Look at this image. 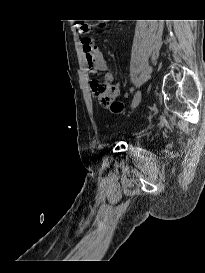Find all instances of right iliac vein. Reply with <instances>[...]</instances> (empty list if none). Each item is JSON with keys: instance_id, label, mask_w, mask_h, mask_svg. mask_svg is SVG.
<instances>
[{"instance_id": "63e3f726", "label": "right iliac vein", "mask_w": 205, "mask_h": 273, "mask_svg": "<svg viewBox=\"0 0 205 273\" xmlns=\"http://www.w3.org/2000/svg\"><path fill=\"white\" fill-rule=\"evenodd\" d=\"M142 98L141 91H137L136 94L134 95L133 101H132V107L135 108L138 106Z\"/></svg>"}]
</instances>
